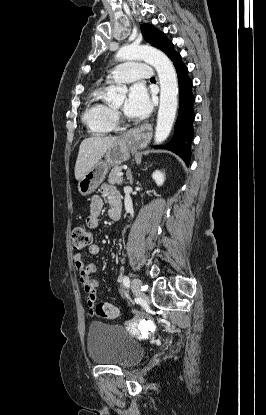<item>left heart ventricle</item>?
<instances>
[{
    "instance_id": "1",
    "label": "left heart ventricle",
    "mask_w": 266,
    "mask_h": 415,
    "mask_svg": "<svg viewBox=\"0 0 266 415\" xmlns=\"http://www.w3.org/2000/svg\"><path fill=\"white\" fill-rule=\"evenodd\" d=\"M124 103H125V99L123 98L122 100H120L116 105H115V107L116 108H122L123 107V105H124Z\"/></svg>"
}]
</instances>
